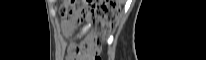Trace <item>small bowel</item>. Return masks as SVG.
<instances>
[{
  "instance_id": "obj_1",
  "label": "small bowel",
  "mask_w": 206,
  "mask_h": 60,
  "mask_svg": "<svg viewBox=\"0 0 206 60\" xmlns=\"http://www.w3.org/2000/svg\"><path fill=\"white\" fill-rule=\"evenodd\" d=\"M73 30V26L70 24H65L63 26V32L65 33V35H69ZM67 59L68 60H82V58H80L77 53H76V49L71 46L68 49V55H67Z\"/></svg>"
}]
</instances>
